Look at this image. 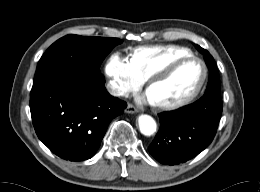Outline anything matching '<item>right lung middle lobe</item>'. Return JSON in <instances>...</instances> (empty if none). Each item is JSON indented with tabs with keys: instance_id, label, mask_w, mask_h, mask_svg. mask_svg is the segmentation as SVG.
Masks as SVG:
<instances>
[{
	"instance_id": "1",
	"label": "right lung middle lobe",
	"mask_w": 260,
	"mask_h": 192,
	"mask_svg": "<svg viewBox=\"0 0 260 192\" xmlns=\"http://www.w3.org/2000/svg\"><path fill=\"white\" fill-rule=\"evenodd\" d=\"M120 43L122 40L118 38L64 36L53 43L41 57L34 82L63 67L100 72L104 58Z\"/></svg>"
}]
</instances>
